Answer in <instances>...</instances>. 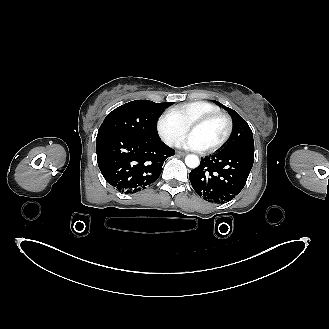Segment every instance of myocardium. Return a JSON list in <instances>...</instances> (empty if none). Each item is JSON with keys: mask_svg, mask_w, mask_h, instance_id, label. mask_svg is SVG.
I'll return each instance as SVG.
<instances>
[{"mask_svg": "<svg viewBox=\"0 0 329 329\" xmlns=\"http://www.w3.org/2000/svg\"><path fill=\"white\" fill-rule=\"evenodd\" d=\"M223 119L226 122V132L222 139L217 142L214 146L203 149L204 153H213L219 150L221 147H223L226 142L229 140L232 131H233V121L229 115L223 112H215V113H210L207 115H204L202 117H199L195 120H193L189 125H188V131L190 132L193 128L204 125L212 120L215 119Z\"/></svg>", "mask_w": 329, "mask_h": 329, "instance_id": "f54148a6", "label": "myocardium"}]
</instances>
